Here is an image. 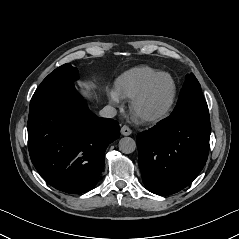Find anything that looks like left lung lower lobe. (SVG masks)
Wrapping results in <instances>:
<instances>
[{"label":"left lung lower lobe","mask_w":239,"mask_h":239,"mask_svg":"<svg viewBox=\"0 0 239 239\" xmlns=\"http://www.w3.org/2000/svg\"><path fill=\"white\" fill-rule=\"evenodd\" d=\"M211 126L207 105H189L137 135L139 166L146 188L171 195L203 169Z\"/></svg>","instance_id":"left-lung-lower-lobe-1"}]
</instances>
